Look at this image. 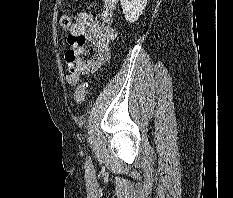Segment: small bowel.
<instances>
[{"instance_id": "obj_1", "label": "small bowel", "mask_w": 233, "mask_h": 198, "mask_svg": "<svg viewBox=\"0 0 233 198\" xmlns=\"http://www.w3.org/2000/svg\"><path fill=\"white\" fill-rule=\"evenodd\" d=\"M118 1L102 0L103 8L98 19L88 12H81L68 29V42L71 47L65 58L68 61L67 54L72 53L77 65V70L66 76L68 85L75 86L82 75L95 72L108 60L110 43L116 36L114 22ZM87 43L92 45L93 53L84 58Z\"/></svg>"}]
</instances>
